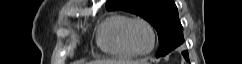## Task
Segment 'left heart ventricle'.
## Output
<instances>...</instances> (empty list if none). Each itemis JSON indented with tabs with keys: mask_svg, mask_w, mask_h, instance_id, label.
<instances>
[{
	"mask_svg": "<svg viewBox=\"0 0 242 64\" xmlns=\"http://www.w3.org/2000/svg\"><path fill=\"white\" fill-rule=\"evenodd\" d=\"M131 40L138 51L145 52L152 46L149 29L142 23L135 24L131 29Z\"/></svg>",
	"mask_w": 242,
	"mask_h": 64,
	"instance_id": "obj_1",
	"label": "left heart ventricle"
}]
</instances>
